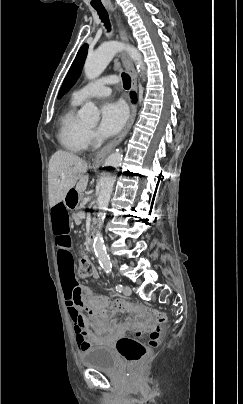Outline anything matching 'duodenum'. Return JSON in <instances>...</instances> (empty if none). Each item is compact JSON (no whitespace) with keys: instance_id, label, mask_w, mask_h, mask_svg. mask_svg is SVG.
Instances as JSON below:
<instances>
[{"instance_id":"410a0bca","label":"duodenum","mask_w":243,"mask_h":404,"mask_svg":"<svg viewBox=\"0 0 243 404\" xmlns=\"http://www.w3.org/2000/svg\"><path fill=\"white\" fill-rule=\"evenodd\" d=\"M80 200L79 192L75 188H69L65 191L63 201L68 209L77 208ZM87 245L90 249H93L94 237L89 236L87 239Z\"/></svg>"}]
</instances>
